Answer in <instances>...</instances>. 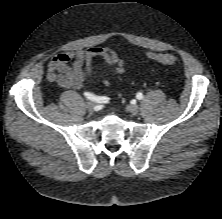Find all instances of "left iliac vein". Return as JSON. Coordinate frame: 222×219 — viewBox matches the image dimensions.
Listing matches in <instances>:
<instances>
[{
  "instance_id": "left-iliac-vein-1",
  "label": "left iliac vein",
  "mask_w": 222,
  "mask_h": 219,
  "mask_svg": "<svg viewBox=\"0 0 222 219\" xmlns=\"http://www.w3.org/2000/svg\"><path fill=\"white\" fill-rule=\"evenodd\" d=\"M128 111H129L131 114H133V115H137L138 112H139V107H138L137 105H135V104L129 105V106H128Z\"/></svg>"
}]
</instances>
